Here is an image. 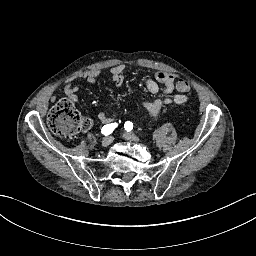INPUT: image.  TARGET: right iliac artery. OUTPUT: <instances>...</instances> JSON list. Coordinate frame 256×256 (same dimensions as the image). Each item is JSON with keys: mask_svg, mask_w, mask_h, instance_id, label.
Returning a JSON list of instances; mask_svg holds the SVG:
<instances>
[{"mask_svg": "<svg viewBox=\"0 0 256 256\" xmlns=\"http://www.w3.org/2000/svg\"><path fill=\"white\" fill-rule=\"evenodd\" d=\"M117 126H118L117 123L107 124V125L103 126V128L101 129V132H102V134L107 136V135L111 134Z\"/></svg>", "mask_w": 256, "mask_h": 256, "instance_id": "obj_1", "label": "right iliac artery"}]
</instances>
